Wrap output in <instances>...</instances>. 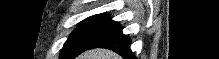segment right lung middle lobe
Segmentation results:
<instances>
[{
    "mask_svg": "<svg viewBox=\"0 0 219 59\" xmlns=\"http://www.w3.org/2000/svg\"><path fill=\"white\" fill-rule=\"evenodd\" d=\"M120 25L107 14H98L82 21L65 42L59 59H74Z\"/></svg>",
    "mask_w": 219,
    "mask_h": 59,
    "instance_id": "obj_1",
    "label": "right lung middle lobe"
}]
</instances>
